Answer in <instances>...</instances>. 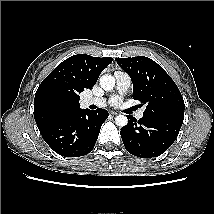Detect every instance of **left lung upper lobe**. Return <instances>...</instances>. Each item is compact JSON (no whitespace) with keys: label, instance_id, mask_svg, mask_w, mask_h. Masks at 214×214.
Instances as JSON below:
<instances>
[{"label":"left lung upper lobe","instance_id":"obj_1","mask_svg":"<svg viewBox=\"0 0 214 214\" xmlns=\"http://www.w3.org/2000/svg\"><path fill=\"white\" fill-rule=\"evenodd\" d=\"M115 60L132 80L133 99L146 104L143 116L183 123V97L175 82L160 65L144 56Z\"/></svg>","mask_w":214,"mask_h":214}]
</instances>
